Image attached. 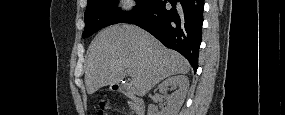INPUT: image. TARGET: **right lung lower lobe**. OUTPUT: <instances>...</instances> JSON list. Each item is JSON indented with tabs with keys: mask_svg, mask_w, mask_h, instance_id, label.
<instances>
[{
	"mask_svg": "<svg viewBox=\"0 0 285 115\" xmlns=\"http://www.w3.org/2000/svg\"><path fill=\"white\" fill-rule=\"evenodd\" d=\"M203 11L204 0H155L122 23L145 29L163 45L185 56L196 72Z\"/></svg>",
	"mask_w": 285,
	"mask_h": 115,
	"instance_id": "98d812e1",
	"label": "right lung lower lobe"
}]
</instances>
